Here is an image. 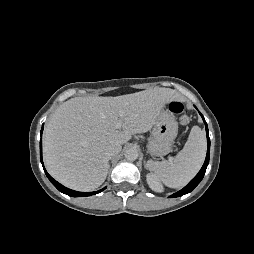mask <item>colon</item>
I'll return each mask as SVG.
<instances>
[{
    "instance_id": "1",
    "label": "colon",
    "mask_w": 254,
    "mask_h": 254,
    "mask_svg": "<svg viewBox=\"0 0 254 254\" xmlns=\"http://www.w3.org/2000/svg\"><path fill=\"white\" fill-rule=\"evenodd\" d=\"M170 110L175 113L180 115V122L183 126H186L189 123V117L184 114L185 110V104L180 101H173L170 104Z\"/></svg>"
}]
</instances>
